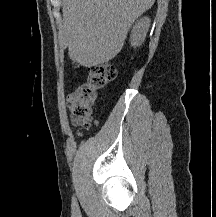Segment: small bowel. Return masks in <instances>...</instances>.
<instances>
[{
    "label": "small bowel",
    "mask_w": 216,
    "mask_h": 217,
    "mask_svg": "<svg viewBox=\"0 0 216 217\" xmlns=\"http://www.w3.org/2000/svg\"><path fill=\"white\" fill-rule=\"evenodd\" d=\"M67 101H68V104L70 105V103H71V95L68 96Z\"/></svg>",
    "instance_id": "small-bowel-1"
}]
</instances>
